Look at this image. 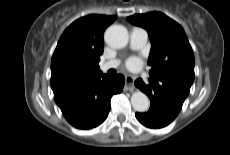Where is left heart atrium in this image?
Wrapping results in <instances>:
<instances>
[{
  "label": "left heart atrium",
  "instance_id": "39dd6f15",
  "mask_svg": "<svg viewBox=\"0 0 230 155\" xmlns=\"http://www.w3.org/2000/svg\"><path fill=\"white\" fill-rule=\"evenodd\" d=\"M139 64H140V60L137 57H130L126 62V66L128 68H136L139 66Z\"/></svg>",
  "mask_w": 230,
  "mask_h": 155
}]
</instances>
